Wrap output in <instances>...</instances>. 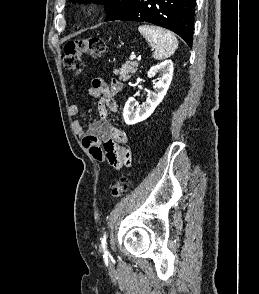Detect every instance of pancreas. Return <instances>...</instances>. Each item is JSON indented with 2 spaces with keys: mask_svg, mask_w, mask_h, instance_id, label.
<instances>
[{
  "mask_svg": "<svg viewBox=\"0 0 259 294\" xmlns=\"http://www.w3.org/2000/svg\"><path fill=\"white\" fill-rule=\"evenodd\" d=\"M137 67L138 63L136 61H127L120 69H114L113 72L115 75H119L120 80L127 81L137 71Z\"/></svg>",
  "mask_w": 259,
  "mask_h": 294,
  "instance_id": "cf45deb5",
  "label": "pancreas"
}]
</instances>
